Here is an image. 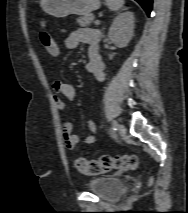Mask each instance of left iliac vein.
I'll use <instances>...</instances> for the list:
<instances>
[{
    "instance_id": "left-iliac-vein-1",
    "label": "left iliac vein",
    "mask_w": 188,
    "mask_h": 213,
    "mask_svg": "<svg viewBox=\"0 0 188 213\" xmlns=\"http://www.w3.org/2000/svg\"><path fill=\"white\" fill-rule=\"evenodd\" d=\"M117 129H118V132L122 135L126 133V128L123 124H118Z\"/></svg>"
}]
</instances>
